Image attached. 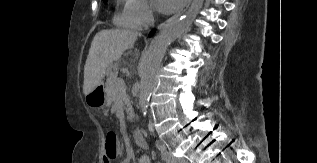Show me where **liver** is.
Segmentation results:
<instances>
[{"instance_id": "obj_1", "label": "liver", "mask_w": 317, "mask_h": 163, "mask_svg": "<svg viewBox=\"0 0 317 163\" xmlns=\"http://www.w3.org/2000/svg\"><path fill=\"white\" fill-rule=\"evenodd\" d=\"M139 35L130 30L104 29L94 36L84 67L85 96L102 84L108 66L132 48Z\"/></svg>"}]
</instances>
